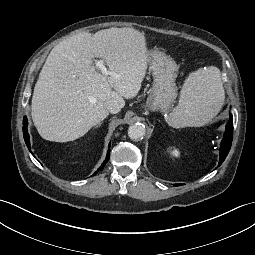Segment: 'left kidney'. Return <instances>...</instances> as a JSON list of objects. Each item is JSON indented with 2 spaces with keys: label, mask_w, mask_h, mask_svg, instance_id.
Here are the masks:
<instances>
[{
  "label": "left kidney",
  "mask_w": 255,
  "mask_h": 255,
  "mask_svg": "<svg viewBox=\"0 0 255 255\" xmlns=\"http://www.w3.org/2000/svg\"><path fill=\"white\" fill-rule=\"evenodd\" d=\"M171 154L175 157H178L180 155L179 151L177 149L171 150Z\"/></svg>",
  "instance_id": "obj_1"
}]
</instances>
